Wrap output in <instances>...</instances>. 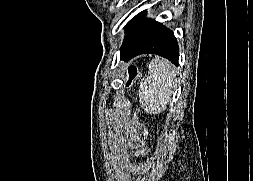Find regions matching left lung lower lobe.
Here are the masks:
<instances>
[{
  "instance_id": "obj_1",
  "label": "left lung lower lobe",
  "mask_w": 253,
  "mask_h": 181,
  "mask_svg": "<svg viewBox=\"0 0 253 181\" xmlns=\"http://www.w3.org/2000/svg\"><path fill=\"white\" fill-rule=\"evenodd\" d=\"M145 11L126 25V36L120 49L121 59L129 60L140 54L153 53L178 65L179 50L174 34L155 20L145 19Z\"/></svg>"
}]
</instances>
